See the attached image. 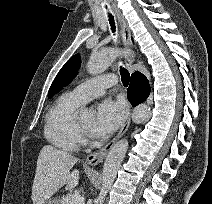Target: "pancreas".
Listing matches in <instances>:
<instances>
[{"instance_id":"1","label":"pancreas","mask_w":212,"mask_h":204,"mask_svg":"<svg viewBox=\"0 0 212 204\" xmlns=\"http://www.w3.org/2000/svg\"><path fill=\"white\" fill-rule=\"evenodd\" d=\"M74 194L68 193L66 196H64L61 200L60 204H70V199Z\"/></svg>"}]
</instances>
